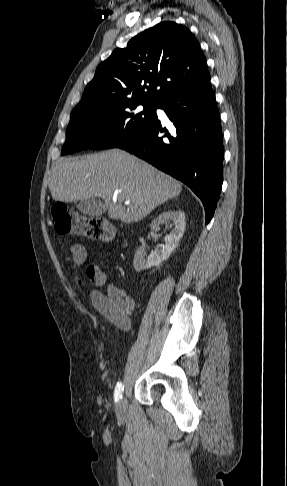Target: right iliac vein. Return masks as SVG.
<instances>
[{
  "label": "right iliac vein",
  "instance_id": "63e3f726",
  "mask_svg": "<svg viewBox=\"0 0 287 486\" xmlns=\"http://www.w3.org/2000/svg\"><path fill=\"white\" fill-rule=\"evenodd\" d=\"M125 411V401L120 400L117 404V412L118 414H122Z\"/></svg>",
  "mask_w": 287,
  "mask_h": 486
}]
</instances>
